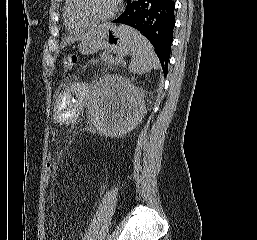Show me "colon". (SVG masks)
Wrapping results in <instances>:
<instances>
[{"instance_id": "colon-1", "label": "colon", "mask_w": 257, "mask_h": 240, "mask_svg": "<svg viewBox=\"0 0 257 240\" xmlns=\"http://www.w3.org/2000/svg\"><path fill=\"white\" fill-rule=\"evenodd\" d=\"M78 57L75 54H68L63 60V68L65 71H71L77 64ZM55 172L54 155L49 152L47 155L46 165L44 169V178L46 185H49Z\"/></svg>"}]
</instances>
